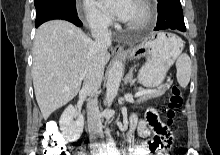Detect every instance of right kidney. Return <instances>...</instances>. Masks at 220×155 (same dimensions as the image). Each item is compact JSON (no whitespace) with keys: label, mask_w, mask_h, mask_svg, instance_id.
Returning a JSON list of instances; mask_svg holds the SVG:
<instances>
[{"label":"right kidney","mask_w":220,"mask_h":155,"mask_svg":"<svg viewBox=\"0 0 220 155\" xmlns=\"http://www.w3.org/2000/svg\"><path fill=\"white\" fill-rule=\"evenodd\" d=\"M59 125L66 138L78 139L83 132L84 118L72 105H69L61 115Z\"/></svg>","instance_id":"1"}]
</instances>
